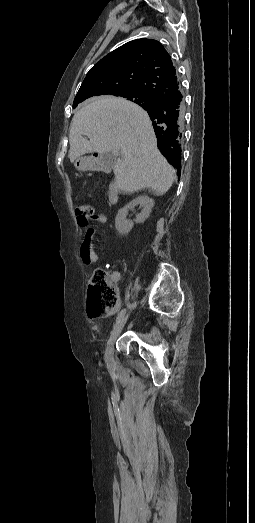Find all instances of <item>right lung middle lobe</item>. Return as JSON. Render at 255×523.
I'll return each instance as SVG.
<instances>
[{"instance_id": "dd1d6c3e", "label": "right lung middle lobe", "mask_w": 255, "mask_h": 523, "mask_svg": "<svg viewBox=\"0 0 255 523\" xmlns=\"http://www.w3.org/2000/svg\"><path fill=\"white\" fill-rule=\"evenodd\" d=\"M116 96L127 98L128 100H131L135 103L141 102L142 107L145 109H150L154 105L153 98L148 96L147 93L142 92V91L132 90V91H127V92L117 94Z\"/></svg>"}]
</instances>
